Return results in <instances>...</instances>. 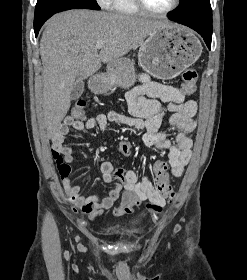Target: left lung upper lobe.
Here are the masks:
<instances>
[{
  "mask_svg": "<svg viewBox=\"0 0 247 280\" xmlns=\"http://www.w3.org/2000/svg\"><path fill=\"white\" fill-rule=\"evenodd\" d=\"M172 15L185 20L212 22L210 0H183L182 5Z\"/></svg>",
  "mask_w": 247,
  "mask_h": 280,
  "instance_id": "1",
  "label": "left lung upper lobe"
}]
</instances>
